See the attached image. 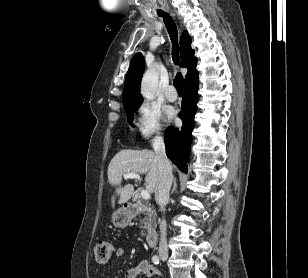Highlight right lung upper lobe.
I'll return each instance as SVG.
<instances>
[{"instance_id": "1", "label": "right lung upper lobe", "mask_w": 308, "mask_h": 278, "mask_svg": "<svg viewBox=\"0 0 308 278\" xmlns=\"http://www.w3.org/2000/svg\"><path fill=\"white\" fill-rule=\"evenodd\" d=\"M181 67L188 68L185 84L198 77L196 70L197 59L194 57V50L191 48V38L184 32L180 38ZM144 70V59L141 53H137L130 64L125 84L122 100L126 108L140 106L143 98L139 93L141 77Z\"/></svg>"}]
</instances>
